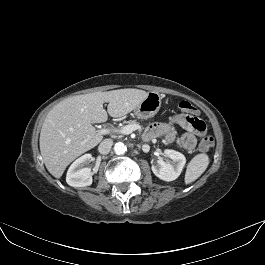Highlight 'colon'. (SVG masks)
Returning a JSON list of instances; mask_svg holds the SVG:
<instances>
[{"mask_svg": "<svg viewBox=\"0 0 265 265\" xmlns=\"http://www.w3.org/2000/svg\"><path fill=\"white\" fill-rule=\"evenodd\" d=\"M179 108L188 115L196 116L198 114L196 107H194L191 103L187 101L180 102ZM213 144V137L211 135L204 134L201 137L199 149L202 151H207L213 146Z\"/></svg>", "mask_w": 265, "mask_h": 265, "instance_id": "colon-1", "label": "colon"}]
</instances>
